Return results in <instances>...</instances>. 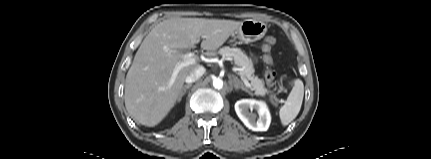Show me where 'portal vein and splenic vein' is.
<instances>
[{
    "label": "portal vein and splenic vein",
    "instance_id": "1",
    "mask_svg": "<svg viewBox=\"0 0 431 159\" xmlns=\"http://www.w3.org/2000/svg\"><path fill=\"white\" fill-rule=\"evenodd\" d=\"M195 42H196V43H197V42H199V39H198V40H196ZM182 58H183V61H182L181 63H179V64L175 67V69H174V71H173V73H172V76H171V78H170V81H169V83H168V85H167V87H166L167 89H169V88H171V87H172V85H173V84H174V82H175L176 76H177V74H178V72H179V70H180L181 68H183V67H185V66H188V65L195 64V63L197 62V59H196V57L194 56V53H192V52H187L186 54H184V55L182 56ZM239 71H241V69H239ZM241 79L243 80L244 84H245L248 88H251V84L249 83V81H248L245 77L241 76Z\"/></svg>",
    "mask_w": 431,
    "mask_h": 159
}]
</instances>
